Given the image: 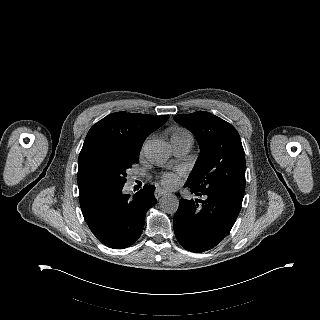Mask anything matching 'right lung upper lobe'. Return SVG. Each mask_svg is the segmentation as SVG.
<instances>
[{
    "label": "right lung upper lobe",
    "mask_w": 320,
    "mask_h": 320,
    "mask_svg": "<svg viewBox=\"0 0 320 320\" xmlns=\"http://www.w3.org/2000/svg\"><path fill=\"white\" fill-rule=\"evenodd\" d=\"M168 119L167 115L117 112L97 122L88 132L78 160V184L92 179L89 166L104 152H136L147 136Z\"/></svg>",
    "instance_id": "right-lung-upper-lobe-1"
}]
</instances>
